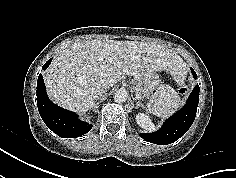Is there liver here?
I'll return each mask as SVG.
<instances>
[{
	"instance_id": "6515ba94",
	"label": "liver",
	"mask_w": 236,
	"mask_h": 178,
	"mask_svg": "<svg viewBox=\"0 0 236 178\" xmlns=\"http://www.w3.org/2000/svg\"><path fill=\"white\" fill-rule=\"evenodd\" d=\"M182 59L171 49L147 42L86 40L57 55L44 75L49 97L75 112L94 105L98 83L115 85L125 75L139 78L156 71L171 74L183 69Z\"/></svg>"
}]
</instances>
